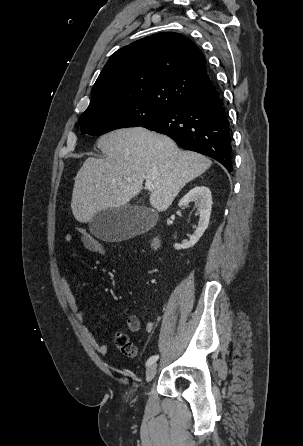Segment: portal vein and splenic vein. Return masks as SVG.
I'll return each mask as SVG.
<instances>
[{"mask_svg": "<svg viewBox=\"0 0 303 446\" xmlns=\"http://www.w3.org/2000/svg\"><path fill=\"white\" fill-rule=\"evenodd\" d=\"M145 187L150 191H153L154 189L153 183L150 180L145 181Z\"/></svg>", "mask_w": 303, "mask_h": 446, "instance_id": "obj_1", "label": "portal vein and splenic vein"}]
</instances>
